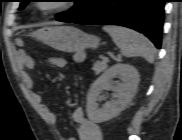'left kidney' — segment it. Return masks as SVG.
I'll list each match as a JSON object with an SVG mask.
<instances>
[{"instance_id": "obj_1", "label": "left kidney", "mask_w": 182, "mask_h": 140, "mask_svg": "<svg viewBox=\"0 0 182 140\" xmlns=\"http://www.w3.org/2000/svg\"><path fill=\"white\" fill-rule=\"evenodd\" d=\"M116 76L121 79V82L112 81ZM139 81V73L131 65L117 63L110 67L90 87L86 106L88 118L95 123H101L117 116L133 98ZM103 90L114 91L116 99L98 108V97Z\"/></svg>"}]
</instances>
